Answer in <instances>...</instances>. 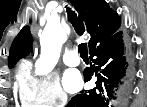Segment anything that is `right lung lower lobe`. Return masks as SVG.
Wrapping results in <instances>:
<instances>
[{"label":"right lung lower lobe","instance_id":"right-lung-lower-lobe-1","mask_svg":"<svg viewBox=\"0 0 147 107\" xmlns=\"http://www.w3.org/2000/svg\"><path fill=\"white\" fill-rule=\"evenodd\" d=\"M90 59L94 64L84 70V81L96 76V87L81 91L66 107H109L112 101L124 107L131 92L133 67L124 50L122 32L91 48Z\"/></svg>","mask_w":147,"mask_h":107}]
</instances>
